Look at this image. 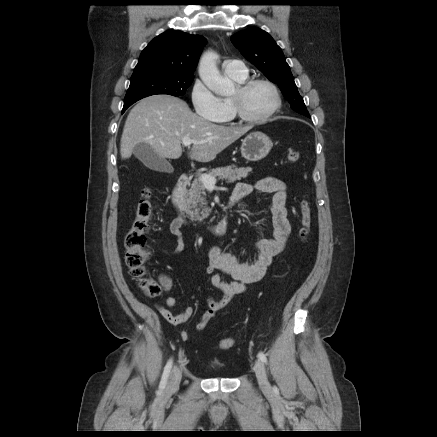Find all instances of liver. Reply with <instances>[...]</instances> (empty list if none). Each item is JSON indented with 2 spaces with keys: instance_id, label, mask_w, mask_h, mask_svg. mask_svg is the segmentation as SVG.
<instances>
[{
  "instance_id": "1",
  "label": "liver",
  "mask_w": 437,
  "mask_h": 437,
  "mask_svg": "<svg viewBox=\"0 0 437 437\" xmlns=\"http://www.w3.org/2000/svg\"><path fill=\"white\" fill-rule=\"evenodd\" d=\"M251 126L226 127L194 114L187 103L170 95L142 99L129 112L120 142L122 159L131 157L139 143L149 144L162 158L178 159L183 138L193 144L189 157L206 163L247 133Z\"/></svg>"
}]
</instances>
